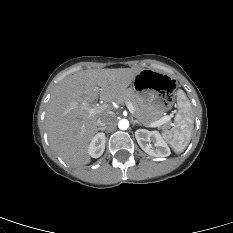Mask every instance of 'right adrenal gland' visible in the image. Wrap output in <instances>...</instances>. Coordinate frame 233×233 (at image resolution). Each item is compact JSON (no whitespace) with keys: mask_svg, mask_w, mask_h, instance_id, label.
Wrapping results in <instances>:
<instances>
[{"mask_svg":"<svg viewBox=\"0 0 233 233\" xmlns=\"http://www.w3.org/2000/svg\"><path fill=\"white\" fill-rule=\"evenodd\" d=\"M106 127H99L98 130L104 131Z\"/></svg>","mask_w":233,"mask_h":233,"instance_id":"right-adrenal-gland-1","label":"right adrenal gland"}]
</instances>
